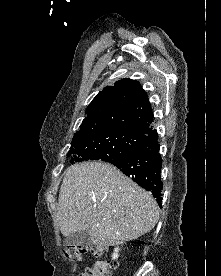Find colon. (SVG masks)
<instances>
[{
  "mask_svg": "<svg viewBox=\"0 0 221 276\" xmlns=\"http://www.w3.org/2000/svg\"><path fill=\"white\" fill-rule=\"evenodd\" d=\"M89 250L88 246H67L64 250L65 256L71 261H80ZM95 256L103 254L104 249L99 246L91 248ZM117 267V262L111 259H97L88 266L79 276H111V271Z\"/></svg>",
  "mask_w": 221,
  "mask_h": 276,
  "instance_id": "colon-1",
  "label": "colon"
}]
</instances>
